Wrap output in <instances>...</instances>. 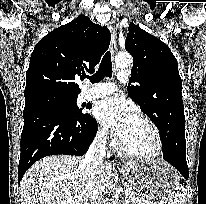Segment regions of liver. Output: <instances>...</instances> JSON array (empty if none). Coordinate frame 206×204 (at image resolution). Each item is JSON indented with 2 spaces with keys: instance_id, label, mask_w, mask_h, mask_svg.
I'll list each match as a JSON object with an SVG mask.
<instances>
[{
  "instance_id": "1",
  "label": "liver",
  "mask_w": 206,
  "mask_h": 204,
  "mask_svg": "<svg viewBox=\"0 0 206 204\" xmlns=\"http://www.w3.org/2000/svg\"><path fill=\"white\" fill-rule=\"evenodd\" d=\"M135 162H127L133 165ZM118 181L114 165L103 163L99 187L105 193ZM90 190L83 158L52 155L36 162L20 182L22 204H84Z\"/></svg>"
}]
</instances>
